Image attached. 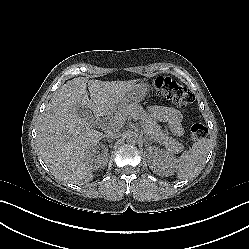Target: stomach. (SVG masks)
<instances>
[{"instance_id": "stomach-1", "label": "stomach", "mask_w": 249, "mask_h": 249, "mask_svg": "<svg viewBox=\"0 0 249 249\" xmlns=\"http://www.w3.org/2000/svg\"><path fill=\"white\" fill-rule=\"evenodd\" d=\"M150 87L147 83H139L135 85L128 93V102H140L149 93Z\"/></svg>"}]
</instances>
